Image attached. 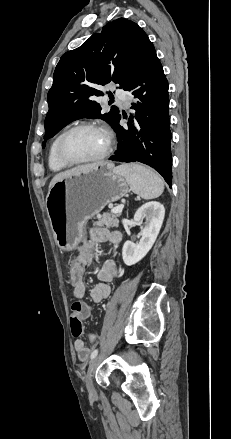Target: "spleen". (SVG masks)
Listing matches in <instances>:
<instances>
[{"label": "spleen", "instance_id": "3e777b00", "mask_svg": "<svg viewBox=\"0 0 231 439\" xmlns=\"http://www.w3.org/2000/svg\"><path fill=\"white\" fill-rule=\"evenodd\" d=\"M116 171L125 177L131 190L143 199H154L163 193L162 178L143 165L123 164L116 167Z\"/></svg>", "mask_w": 231, "mask_h": 439}]
</instances>
